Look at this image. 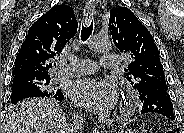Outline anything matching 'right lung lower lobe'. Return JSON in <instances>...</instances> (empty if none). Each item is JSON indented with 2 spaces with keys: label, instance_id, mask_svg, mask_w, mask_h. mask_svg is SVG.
I'll list each match as a JSON object with an SVG mask.
<instances>
[{
  "label": "right lung lower lobe",
  "instance_id": "1",
  "mask_svg": "<svg viewBox=\"0 0 184 133\" xmlns=\"http://www.w3.org/2000/svg\"><path fill=\"white\" fill-rule=\"evenodd\" d=\"M51 97L55 98V99L58 100V101H62V100L64 99V95H63L62 92L59 93V94H54V95H52ZM19 101H20V100H19ZM19 101H17L16 103H18ZM16 103H14V104H16Z\"/></svg>",
  "mask_w": 184,
  "mask_h": 133
}]
</instances>
